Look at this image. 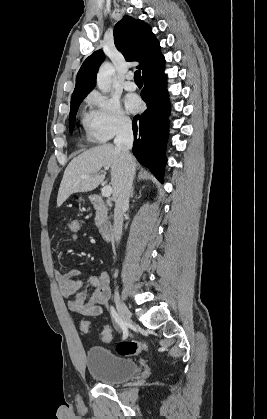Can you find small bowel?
I'll list each match as a JSON object with an SVG mask.
<instances>
[{
	"label": "small bowel",
	"instance_id": "c3829d8e",
	"mask_svg": "<svg viewBox=\"0 0 267 419\" xmlns=\"http://www.w3.org/2000/svg\"><path fill=\"white\" fill-rule=\"evenodd\" d=\"M71 240L78 241L79 235L71 234ZM54 277L71 312L85 316H98L107 308L111 289L110 276L106 271L84 278L83 272L79 269H71L64 273L55 270ZM91 288H94V292L88 298Z\"/></svg>",
	"mask_w": 267,
	"mask_h": 419
}]
</instances>
